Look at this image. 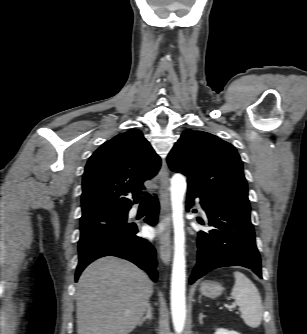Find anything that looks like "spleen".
<instances>
[{
	"instance_id": "1",
	"label": "spleen",
	"mask_w": 307,
	"mask_h": 334,
	"mask_svg": "<svg viewBox=\"0 0 307 334\" xmlns=\"http://www.w3.org/2000/svg\"><path fill=\"white\" fill-rule=\"evenodd\" d=\"M235 284L231 292L244 322L251 328H257L262 320V300L255 284L243 273L234 272Z\"/></svg>"
}]
</instances>
